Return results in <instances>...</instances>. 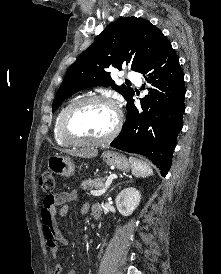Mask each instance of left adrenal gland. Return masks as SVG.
Wrapping results in <instances>:
<instances>
[{
  "label": "left adrenal gland",
  "instance_id": "obj_1",
  "mask_svg": "<svg viewBox=\"0 0 221 274\" xmlns=\"http://www.w3.org/2000/svg\"><path fill=\"white\" fill-rule=\"evenodd\" d=\"M119 184H117L116 186H114L113 188L110 189V192L113 191Z\"/></svg>",
  "mask_w": 221,
  "mask_h": 274
}]
</instances>
